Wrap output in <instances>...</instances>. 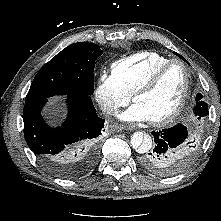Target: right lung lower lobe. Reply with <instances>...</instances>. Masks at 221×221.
Here are the masks:
<instances>
[{"label": "right lung lower lobe", "instance_id": "98d812e1", "mask_svg": "<svg viewBox=\"0 0 221 221\" xmlns=\"http://www.w3.org/2000/svg\"><path fill=\"white\" fill-rule=\"evenodd\" d=\"M46 102H25L26 142L48 171L63 178L77 177L95 160L94 140L101 134L105 120L96 114L90 95L73 94L67 99L66 121L62 127L51 128L41 116Z\"/></svg>", "mask_w": 221, "mask_h": 221}]
</instances>
